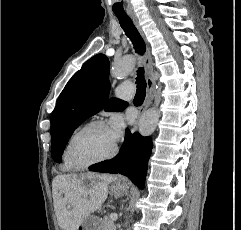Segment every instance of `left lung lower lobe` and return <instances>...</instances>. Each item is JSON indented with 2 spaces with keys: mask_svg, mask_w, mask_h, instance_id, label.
Listing matches in <instances>:
<instances>
[{
  "mask_svg": "<svg viewBox=\"0 0 241 230\" xmlns=\"http://www.w3.org/2000/svg\"><path fill=\"white\" fill-rule=\"evenodd\" d=\"M152 147L150 137H142L139 133L132 135L127 129L120 153L111 160L92 165L89 170L120 173L129 177L134 184L143 189Z\"/></svg>",
  "mask_w": 241,
  "mask_h": 230,
  "instance_id": "left-lung-lower-lobe-1",
  "label": "left lung lower lobe"
}]
</instances>
